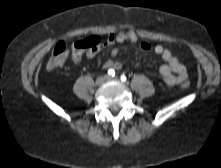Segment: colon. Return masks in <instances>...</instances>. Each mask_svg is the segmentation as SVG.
Instances as JSON below:
<instances>
[{"instance_id": "obj_1", "label": "colon", "mask_w": 221, "mask_h": 168, "mask_svg": "<svg viewBox=\"0 0 221 168\" xmlns=\"http://www.w3.org/2000/svg\"><path fill=\"white\" fill-rule=\"evenodd\" d=\"M127 41L130 44H135L139 41V36L134 29H127L126 31L116 30L115 32H109L104 38V43L106 45L125 44ZM99 43L100 38L94 36L87 40L76 42L70 51L65 43L59 42L55 45L52 54L46 63V68L48 70H54L58 67H61L70 57L74 60H78L86 50H93L98 48ZM182 87H189V83L184 82Z\"/></svg>"}]
</instances>
